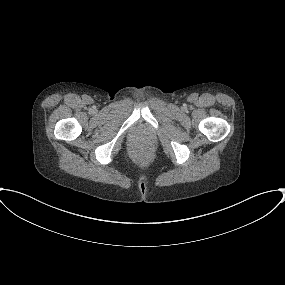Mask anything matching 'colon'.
I'll use <instances>...</instances> for the list:
<instances>
[{
    "label": "colon",
    "mask_w": 285,
    "mask_h": 285,
    "mask_svg": "<svg viewBox=\"0 0 285 285\" xmlns=\"http://www.w3.org/2000/svg\"><path fill=\"white\" fill-rule=\"evenodd\" d=\"M152 154V149L147 145H142L137 150L138 157L143 161L150 159L152 157Z\"/></svg>",
    "instance_id": "5ec220e1"
}]
</instances>
